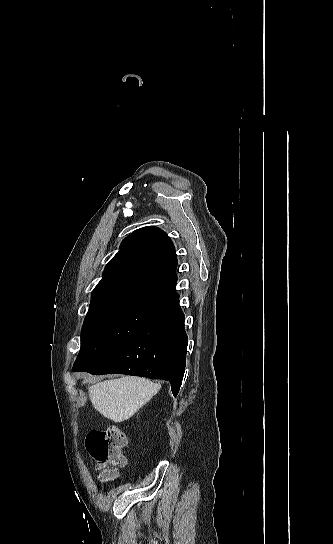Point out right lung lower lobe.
I'll use <instances>...</instances> for the list:
<instances>
[{"instance_id": "98d812e1", "label": "right lung lower lobe", "mask_w": 333, "mask_h": 544, "mask_svg": "<svg viewBox=\"0 0 333 544\" xmlns=\"http://www.w3.org/2000/svg\"><path fill=\"white\" fill-rule=\"evenodd\" d=\"M187 335L179 300L172 302L139 334L73 371L91 374H127L167 380L174 396L179 392L186 363Z\"/></svg>"}]
</instances>
